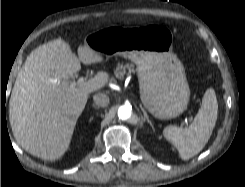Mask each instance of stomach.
Here are the masks:
<instances>
[{"label": "stomach", "mask_w": 245, "mask_h": 187, "mask_svg": "<svg viewBox=\"0 0 245 187\" xmlns=\"http://www.w3.org/2000/svg\"><path fill=\"white\" fill-rule=\"evenodd\" d=\"M173 35L160 25L112 26L85 38V44L107 58L115 55L137 65L140 96L156 118L171 119L188 105L190 89L181 61L172 52Z\"/></svg>", "instance_id": "stomach-1"}]
</instances>
